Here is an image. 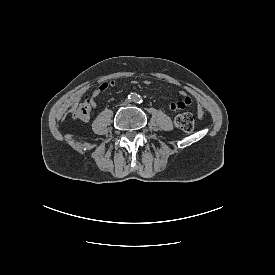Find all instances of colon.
<instances>
[{
	"mask_svg": "<svg viewBox=\"0 0 275 275\" xmlns=\"http://www.w3.org/2000/svg\"><path fill=\"white\" fill-rule=\"evenodd\" d=\"M110 86H113L114 83L110 82ZM91 112V105H90V98L89 96H84L82 99V102L75 107L71 111V118L72 119H78V120H85L89 117ZM174 123L177 128L184 132H190L193 130L194 125H195V117L191 113H183L178 115Z\"/></svg>",
	"mask_w": 275,
	"mask_h": 275,
	"instance_id": "obj_1",
	"label": "colon"
}]
</instances>
